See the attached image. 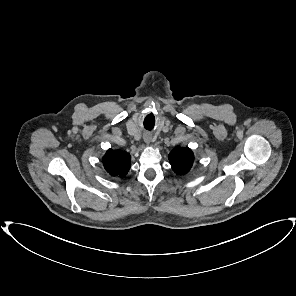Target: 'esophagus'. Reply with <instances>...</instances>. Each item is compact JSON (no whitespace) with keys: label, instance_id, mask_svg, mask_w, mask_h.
<instances>
[{"label":"esophagus","instance_id":"esophagus-1","mask_svg":"<svg viewBox=\"0 0 296 296\" xmlns=\"http://www.w3.org/2000/svg\"><path fill=\"white\" fill-rule=\"evenodd\" d=\"M152 140V137L149 134L144 135V141L146 144H149Z\"/></svg>","mask_w":296,"mask_h":296}]
</instances>
